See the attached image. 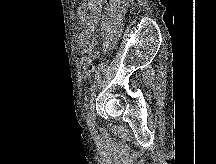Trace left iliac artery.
<instances>
[{
  "instance_id": "left-iliac-artery-1",
  "label": "left iliac artery",
  "mask_w": 216,
  "mask_h": 164,
  "mask_svg": "<svg viewBox=\"0 0 216 164\" xmlns=\"http://www.w3.org/2000/svg\"><path fill=\"white\" fill-rule=\"evenodd\" d=\"M85 109H86V111H87V115H86V117H87V124H88V126H89V129L90 130H95L94 128V124L91 122V119H90V112H89V104H88V102L87 103H85Z\"/></svg>"
}]
</instances>
